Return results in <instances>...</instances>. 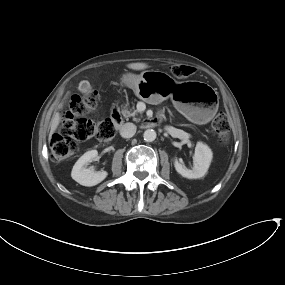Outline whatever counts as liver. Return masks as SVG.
Wrapping results in <instances>:
<instances>
[{"instance_id": "liver-1", "label": "liver", "mask_w": 285, "mask_h": 285, "mask_svg": "<svg viewBox=\"0 0 285 285\" xmlns=\"http://www.w3.org/2000/svg\"><path fill=\"white\" fill-rule=\"evenodd\" d=\"M128 68L133 69V70H144L146 68H148L149 66L146 63H130L127 65ZM62 103L60 104V108H62ZM61 117L59 113H56L55 116L52 118L51 120V129H50V134H49V140L52 137V134L56 131L57 127L59 126Z\"/></svg>"}]
</instances>
